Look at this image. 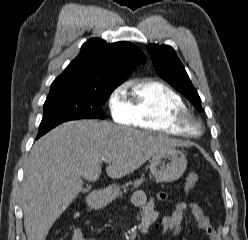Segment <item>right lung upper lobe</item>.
I'll list each match as a JSON object with an SVG mask.
<instances>
[{
  "instance_id": "obj_1",
  "label": "right lung upper lobe",
  "mask_w": 248,
  "mask_h": 240,
  "mask_svg": "<svg viewBox=\"0 0 248 240\" xmlns=\"http://www.w3.org/2000/svg\"><path fill=\"white\" fill-rule=\"evenodd\" d=\"M145 61L142 51L130 42L107 43L99 38H91L53 81L50 91L63 88L115 89L137 64Z\"/></svg>"
}]
</instances>
